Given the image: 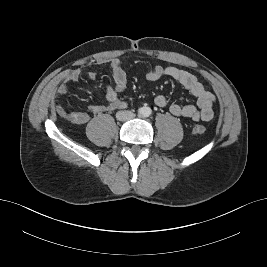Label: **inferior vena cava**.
<instances>
[{
	"mask_svg": "<svg viewBox=\"0 0 267 267\" xmlns=\"http://www.w3.org/2000/svg\"><path fill=\"white\" fill-rule=\"evenodd\" d=\"M134 114L131 111H119L116 113V118L120 121H128L134 118Z\"/></svg>",
	"mask_w": 267,
	"mask_h": 267,
	"instance_id": "inferior-vena-cava-1",
	"label": "inferior vena cava"
}]
</instances>
